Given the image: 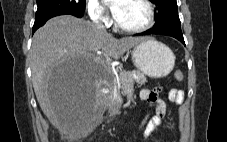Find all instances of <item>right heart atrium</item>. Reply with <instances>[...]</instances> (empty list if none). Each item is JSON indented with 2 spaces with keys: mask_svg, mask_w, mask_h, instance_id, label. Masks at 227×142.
<instances>
[{
  "mask_svg": "<svg viewBox=\"0 0 227 142\" xmlns=\"http://www.w3.org/2000/svg\"><path fill=\"white\" fill-rule=\"evenodd\" d=\"M86 10L92 22L102 26H107L109 24V16L98 0H87Z\"/></svg>",
  "mask_w": 227,
  "mask_h": 142,
  "instance_id": "1",
  "label": "right heart atrium"
}]
</instances>
